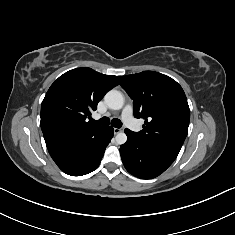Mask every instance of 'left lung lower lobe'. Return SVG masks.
Segmentation results:
<instances>
[{
    "label": "left lung lower lobe",
    "mask_w": 235,
    "mask_h": 235,
    "mask_svg": "<svg viewBox=\"0 0 235 235\" xmlns=\"http://www.w3.org/2000/svg\"><path fill=\"white\" fill-rule=\"evenodd\" d=\"M127 142L120 147L126 170L141 179H151L163 173L176 159L177 153L148 143L129 129Z\"/></svg>",
    "instance_id": "obj_1"
}]
</instances>
